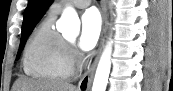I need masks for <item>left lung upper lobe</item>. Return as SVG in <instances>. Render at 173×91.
<instances>
[{
  "mask_svg": "<svg viewBox=\"0 0 173 91\" xmlns=\"http://www.w3.org/2000/svg\"><path fill=\"white\" fill-rule=\"evenodd\" d=\"M34 0H28V6L24 12V18H23V25H22V28L24 27V24H25V21H26V17H27V11H29L32 7V5L34 4Z\"/></svg>",
  "mask_w": 173,
  "mask_h": 91,
  "instance_id": "obj_1",
  "label": "left lung upper lobe"
}]
</instances>
